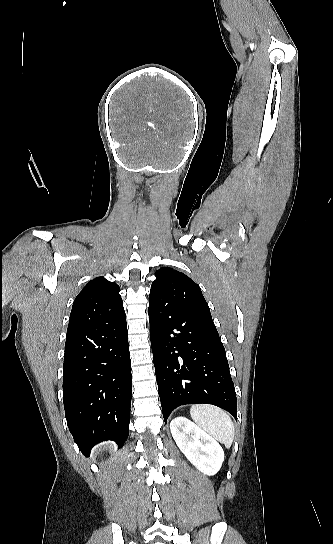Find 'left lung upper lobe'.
Here are the masks:
<instances>
[{
  "label": "left lung upper lobe",
  "mask_w": 333,
  "mask_h": 544,
  "mask_svg": "<svg viewBox=\"0 0 333 544\" xmlns=\"http://www.w3.org/2000/svg\"><path fill=\"white\" fill-rule=\"evenodd\" d=\"M149 302L195 312L209 318L210 309L200 287L185 274L169 267L155 272Z\"/></svg>",
  "instance_id": "obj_1"
}]
</instances>
